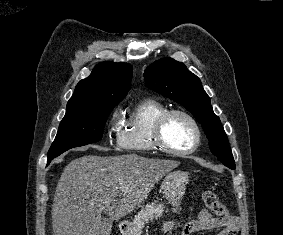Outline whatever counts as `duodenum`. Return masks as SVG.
Returning <instances> with one entry per match:
<instances>
[{
    "label": "duodenum",
    "instance_id": "obj_1",
    "mask_svg": "<svg viewBox=\"0 0 283 235\" xmlns=\"http://www.w3.org/2000/svg\"><path fill=\"white\" fill-rule=\"evenodd\" d=\"M119 227H120V229H125V228H127V223L125 221H121L119 223Z\"/></svg>",
    "mask_w": 283,
    "mask_h": 235
}]
</instances>
